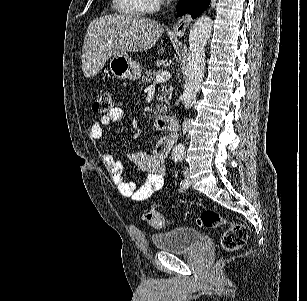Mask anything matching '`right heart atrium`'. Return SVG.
Segmentation results:
<instances>
[{"mask_svg":"<svg viewBox=\"0 0 307 301\" xmlns=\"http://www.w3.org/2000/svg\"><path fill=\"white\" fill-rule=\"evenodd\" d=\"M148 4H138V11H156L161 6L160 0H147Z\"/></svg>","mask_w":307,"mask_h":301,"instance_id":"obj_1","label":"right heart atrium"}]
</instances>
